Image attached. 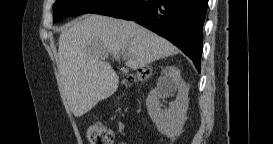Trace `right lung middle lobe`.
Returning <instances> with one entry per match:
<instances>
[{
	"instance_id": "right-lung-middle-lobe-1",
	"label": "right lung middle lobe",
	"mask_w": 273,
	"mask_h": 144,
	"mask_svg": "<svg viewBox=\"0 0 273 144\" xmlns=\"http://www.w3.org/2000/svg\"><path fill=\"white\" fill-rule=\"evenodd\" d=\"M109 0H56L53 5V21L59 22L68 16L91 13Z\"/></svg>"
}]
</instances>
